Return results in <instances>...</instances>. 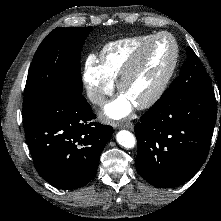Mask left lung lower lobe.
<instances>
[{"mask_svg":"<svg viewBox=\"0 0 221 221\" xmlns=\"http://www.w3.org/2000/svg\"><path fill=\"white\" fill-rule=\"evenodd\" d=\"M216 107L212 86L161 96L135 125L139 175L158 188L191 179L207 158Z\"/></svg>","mask_w":221,"mask_h":221,"instance_id":"obj_1","label":"left lung lower lobe"}]
</instances>
